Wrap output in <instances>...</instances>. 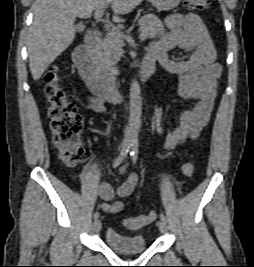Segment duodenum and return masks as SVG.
I'll use <instances>...</instances> for the list:
<instances>
[{"label": "duodenum", "instance_id": "1", "mask_svg": "<svg viewBox=\"0 0 254 267\" xmlns=\"http://www.w3.org/2000/svg\"><path fill=\"white\" fill-rule=\"evenodd\" d=\"M101 42V33L98 29L88 31L84 44L75 49L73 61L80 75L97 97L107 101H114L122 98L124 93L117 86L115 75L100 68L93 58V54L99 48ZM154 71L155 60L146 56L136 73V77L141 80L146 79Z\"/></svg>", "mask_w": 254, "mask_h": 267}]
</instances>
